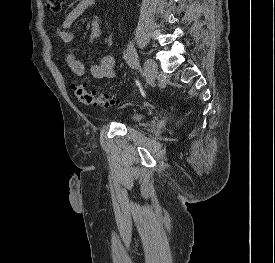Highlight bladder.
Returning <instances> with one entry per match:
<instances>
[{"label": "bladder", "instance_id": "obj_1", "mask_svg": "<svg viewBox=\"0 0 275 263\" xmlns=\"http://www.w3.org/2000/svg\"><path fill=\"white\" fill-rule=\"evenodd\" d=\"M144 114H142V113H134V114H132V116H131V121L132 122H138V121H141V120H143L144 119Z\"/></svg>", "mask_w": 275, "mask_h": 263}]
</instances>
